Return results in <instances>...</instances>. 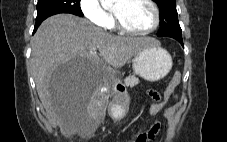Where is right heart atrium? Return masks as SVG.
<instances>
[{
  "instance_id": "obj_1",
  "label": "right heart atrium",
  "mask_w": 227,
  "mask_h": 142,
  "mask_svg": "<svg viewBox=\"0 0 227 142\" xmlns=\"http://www.w3.org/2000/svg\"><path fill=\"white\" fill-rule=\"evenodd\" d=\"M80 10L86 19L99 27H107L111 19L99 0H80Z\"/></svg>"
}]
</instances>
